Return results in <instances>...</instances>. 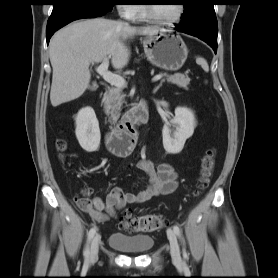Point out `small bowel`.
I'll return each instance as SVG.
<instances>
[{
    "instance_id": "1",
    "label": "small bowel",
    "mask_w": 278,
    "mask_h": 278,
    "mask_svg": "<svg viewBox=\"0 0 278 278\" xmlns=\"http://www.w3.org/2000/svg\"><path fill=\"white\" fill-rule=\"evenodd\" d=\"M137 167L148 176V185L145 189L138 192H125L123 189L115 187L107 194L105 200L99 196L92 199H78V207L93 220L101 222L114 216L127 204H139L159 195L170 194L178 186L177 172L169 163L154 166L148 160H140Z\"/></svg>"
}]
</instances>
